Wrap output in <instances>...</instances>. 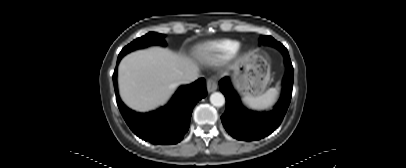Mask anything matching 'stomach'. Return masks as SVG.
Masks as SVG:
<instances>
[{"instance_id":"0dacf381","label":"stomach","mask_w":406,"mask_h":168,"mask_svg":"<svg viewBox=\"0 0 406 168\" xmlns=\"http://www.w3.org/2000/svg\"><path fill=\"white\" fill-rule=\"evenodd\" d=\"M270 81V64L256 52L243 56L234 66L233 82L238 92L246 96L261 95Z\"/></svg>"}]
</instances>
